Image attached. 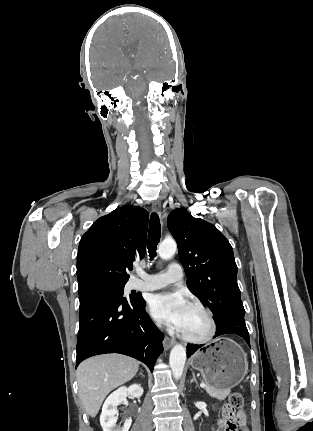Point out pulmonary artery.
<instances>
[{"label":"pulmonary artery","mask_w":313,"mask_h":431,"mask_svg":"<svg viewBox=\"0 0 313 431\" xmlns=\"http://www.w3.org/2000/svg\"><path fill=\"white\" fill-rule=\"evenodd\" d=\"M142 279L132 282L133 289L151 291L164 288L169 285H181L183 280V270L177 263H171L166 271L157 274L147 275L140 273Z\"/></svg>","instance_id":"pulmonary-artery-1"}]
</instances>
